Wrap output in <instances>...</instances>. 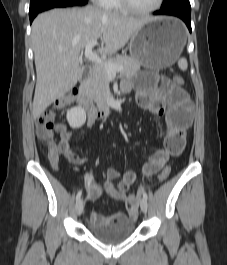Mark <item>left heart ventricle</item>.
Returning a JSON list of instances; mask_svg holds the SVG:
<instances>
[{"label":"left heart ventricle","instance_id":"b2bd125f","mask_svg":"<svg viewBox=\"0 0 227 265\" xmlns=\"http://www.w3.org/2000/svg\"><path fill=\"white\" fill-rule=\"evenodd\" d=\"M134 7L138 9H148L153 7L158 0H130Z\"/></svg>","mask_w":227,"mask_h":265}]
</instances>
